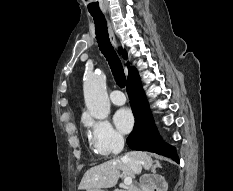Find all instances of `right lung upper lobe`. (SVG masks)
<instances>
[{
  "instance_id": "1",
  "label": "right lung upper lobe",
  "mask_w": 233,
  "mask_h": 191,
  "mask_svg": "<svg viewBox=\"0 0 233 191\" xmlns=\"http://www.w3.org/2000/svg\"><path fill=\"white\" fill-rule=\"evenodd\" d=\"M119 52L122 53L123 56H124L125 58H127V54H126V52H125L124 50H122L121 48H119ZM133 69H134V68L131 67V68L129 69V72L131 73Z\"/></svg>"
}]
</instances>
